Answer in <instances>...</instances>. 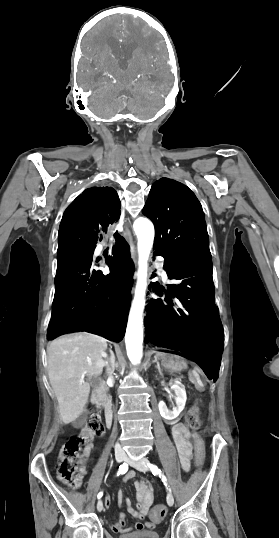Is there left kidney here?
<instances>
[{
    "label": "left kidney",
    "instance_id": "obj_1",
    "mask_svg": "<svg viewBox=\"0 0 279 538\" xmlns=\"http://www.w3.org/2000/svg\"><path fill=\"white\" fill-rule=\"evenodd\" d=\"M171 390H173L175 394L174 400L176 402V406H174L172 410H169L164 402H159L158 404L159 412L162 418H165V420H175V418L179 416L180 412L184 410L187 400L185 386H182V384H173V386H171Z\"/></svg>",
    "mask_w": 279,
    "mask_h": 538
}]
</instances>
